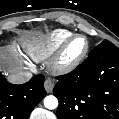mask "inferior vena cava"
Instances as JSON below:
<instances>
[{
  "instance_id": "602c4592",
  "label": "inferior vena cava",
  "mask_w": 119,
  "mask_h": 119,
  "mask_svg": "<svg viewBox=\"0 0 119 119\" xmlns=\"http://www.w3.org/2000/svg\"><path fill=\"white\" fill-rule=\"evenodd\" d=\"M32 78V73L27 70H16L8 75L7 80L12 84H23Z\"/></svg>"
}]
</instances>
